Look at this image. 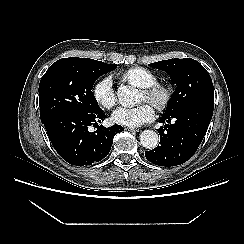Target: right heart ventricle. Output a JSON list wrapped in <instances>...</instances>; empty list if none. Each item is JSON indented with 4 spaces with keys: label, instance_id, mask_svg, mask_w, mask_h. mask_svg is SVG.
Returning a JSON list of instances; mask_svg holds the SVG:
<instances>
[{
    "label": "right heart ventricle",
    "instance_id": "e07e8e85",
    "mask_svg": "<svg viewBox=\"0 0 244 244\" xmlns=\"http://www.w3.org/2000/svg\"><path fill=\"white\" fill-rule=\"evenodd\" d=\"M122 80L139 88H146L157 81V76L150 70L142 67H133L120 74Z\"/></svg>",
    "mask_w": 244,
    "mask_h": 244
}]
</instances>
